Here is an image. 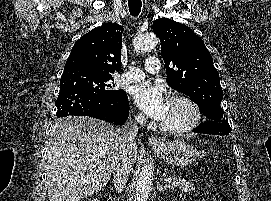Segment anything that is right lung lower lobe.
<instances>
[{"label":"right lung lower lobe","mask_w":271,"mask_h":201,"mask_svg":"<svg viewBox=\"0 0 271 201\" xmlns=\"http://www.w3.org/2000/svg\"><path fill=\"white\" fill-rule=\"evenodd\" d=\"M57 117L68 115L89 116L122 124L129 116V103L123 91L113 96L89 93L60 94L55 102Z\"/></svg>","instance_id":"98d812e1"}]
</instances>
